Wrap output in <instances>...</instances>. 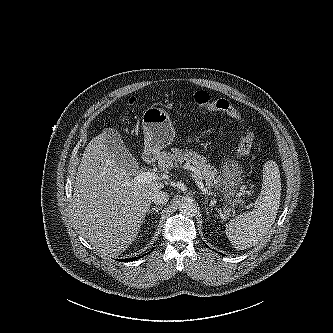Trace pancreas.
I'll return each instance as SVG.
<instances>
[{
  "label": "pancreas",
  "instance_id": "cf45deb5",
  "mask_svg": "<svg viewBox=\"0 0 333 333\" xmlns=\"http://www.w3.org/2000/svg\"><path fill=\"white\" fill-rule=\"evenodd\" d=\"M157 159L159 168L164 172L186 162L200 171L208 188L218 185V171L207 162L206 157L195 151L171 148V151L160 152Z\"/></svg>",
  "mask_w": 333,
  "mask_h": 333
}]
</instances>
